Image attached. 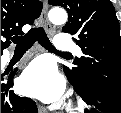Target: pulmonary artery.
I'll return each instance as SVG.
<instances>
[{
	"label": "pulmonary artery",
	"instance_id": "pulmonary-artery-1",
	"mask_svg": "<svg viewBox=\"0 0 121 113\" xmlns=\"http://www.w3.org/2000/svg\"><path fill=\"white\" fill-rule=\"evenodd\" d=\"M56 49L58 51H69L73 48V43L67 34H59L56 38ZM75 52L77 55L81 56L80 49L76 48Z\"/></svg>",
	"mask_w": 121,
	"mask_h": 113
}]
</instances>
